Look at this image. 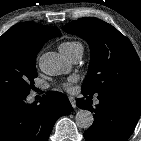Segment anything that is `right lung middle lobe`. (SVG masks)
Masks as SVG:
<instances>
[{"mask_svg": "<svg viewBox=\"0 0 141 141\" xmlns=\"http://www.w3.org/2000/svg\"><path fill=\"white\" fill-rule=\"evenodd\" d=\"M39 49L20 42L0 44V94H29L37 77Z\"/></svg>", "mask_w": 141, "mask_h": 141, "instance_id": "obj_1", "label": "right lung middle lobe"}]
</instances>
